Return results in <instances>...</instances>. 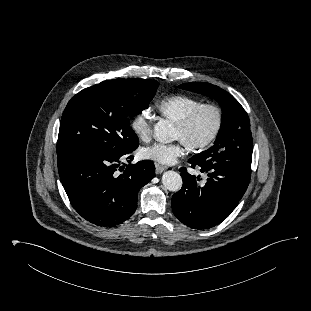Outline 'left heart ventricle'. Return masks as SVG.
<instances>
[{"mask_svg": "<svg viewBox=\"0 0 311 311\" xmlns=\"http://www.w3.org/2000/svg\"><path fill=\"white\" fill-rule=\"evenodd\" d=\"M215 125V114L211 110H206L200 114L191 129L184 133L179 128H175L174 138L184 142L199 143L205 140L212 132Z\"/></svg>", "mask_w": 311, "mask_h": 311, "instance_id": "b2bd125f", "label": "left heart ventricle"}]
</instances>
